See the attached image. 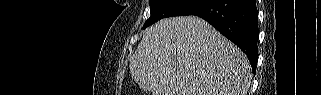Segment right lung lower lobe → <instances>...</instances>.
<instances>
[{
  "mask_svg": "<svg viewBox=\"0 0 321 95\" xmlns=\"http://www.w3.org/2000/svg\"><path fill=\"white\" fill-rule=\"evenodd\" d=\"M191 15L208 21L236 44L256 70L258 49V11L256 0H208Z\"/></svg>",
  "mask_w": 321,
  "mask_h": 95,
  "instance_id": "obj_1",
  "label": "right lung lower lobe"
}]
</instances>
